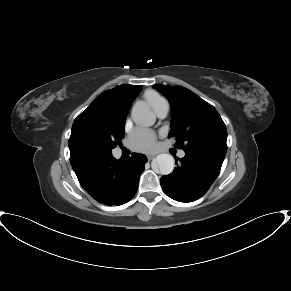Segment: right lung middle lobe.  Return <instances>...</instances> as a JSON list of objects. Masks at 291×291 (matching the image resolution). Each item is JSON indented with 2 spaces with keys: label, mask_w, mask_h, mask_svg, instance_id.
<instances>
[{
  "label": "right lung middle lobe",
  "mask_w": 291,
  "mask_h": 291,
  "mask_svg": "<svg viewBox=\"0 0 291 291\" xmlns=\"http://www.w3.org/2000/svg\"><path fill=\"white\" fill-rule=\"evenodd\" d=\"M125 135V119L105 114L81 123L69 139L71 153H112Z\"/></svg>",
  "instance_id": "right-lung-middle-lobe-1"
}]
</instances>
